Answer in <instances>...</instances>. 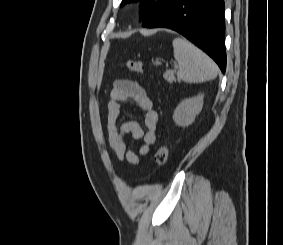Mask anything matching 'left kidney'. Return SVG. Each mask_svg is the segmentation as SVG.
Masks as SVG:
<instances>
[{
	"label": "left kidney",
	"instance_id": "5707ae66",
	"mask_svg": "<svg viewBox=\"0 0 283 245\" xmlns=\"http://www.w3.org/2000/svg\"><path fill=\"white\" fill-rule=\"evenodd\" d=\"M204 95L183 100L175 109L173 114L174 122L181 127L191 125L195 117L201 112Z\"/></svg>",
	"mask_w": 283,
	"mask_h": 245
}]
</instances>
